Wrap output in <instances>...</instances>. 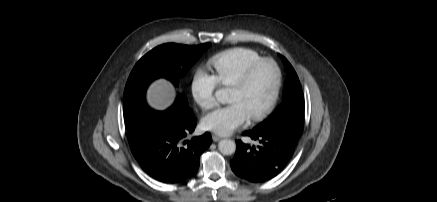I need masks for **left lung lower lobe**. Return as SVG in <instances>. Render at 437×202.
Instances as JSON below:
<instances>
[{
  "mask_svg": "<svg viewBox=\"0 0 437 202\" xmlns=\"http://www.w3.org/2000/svg\"><path fill=\"white\" fill-rule=\"evenodd\" d=\"M257 142L245 144L237 140V150L230 161L232 171L249 182H264L280 173L295 149L296 139L276 130L252 129L243 132Z\"/></svg>",
  "mask_w": 437,
  "mask_h": 202,
  "instance_id": "0a47b994",
  "label": "left lung lower lobe"
}]
</instances>
